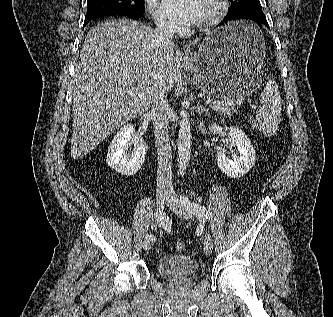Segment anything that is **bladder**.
Returning a JSON list of instances; mask_svg holds the SVG:
<instances>
[{"mask_svg": "<svg viewBox=\"0 0 333 317\" xmlns=\"http://www.w3.org/2000/svg\"><path fill=\"white\" fill-rule=\"evenodd\" d=\"M157 273L169 280H186L195 276L199 270L197 262L184 254H166L155 262Z\"/></svg>", "mask_w": 333, "mask_h": 317, "instance_id": "bladder-1", "label": "bladder"}]
</instances>
